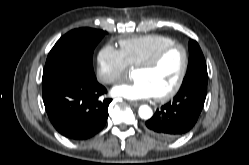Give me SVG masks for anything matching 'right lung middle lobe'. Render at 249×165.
<instances>
[{
  "instance_id": "right-lung-middle-lobe-1",
  "label": "right lung middle lobe",
  "mask_w": 249,
  "mask_h": 165,
  "mask_svg": "<svg viewBox=\"0 0 249 165\" xmlns=\"http://www.w3.org/2000/svg\"><path fill=\"white\" fill-rule=\"evenodd\" d=\"M105 31L91 28L74 29L62 36L48 54L45 69L59 68L96 80L92 56Z\"/></svg>"
}]
</instances>
